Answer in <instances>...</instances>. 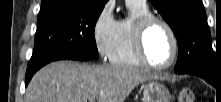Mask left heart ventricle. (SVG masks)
Instances as JSON below:
<instances>
[{
	"instance_id": "left-heart-ventricle-1",
	"label": "left heart ventricle",
	"mask_w": 221,
	"mask_h": 102,
	"mask_svg": "<svg viewBox=\"0 0 221 102\" xmlns=\"http://www.w3.org/2000/svg\"><path fill=\"white\" fill-rule=\"evenodd\" d=\"M145 48L152 63L163 65L169 62L173 55V41L166 28L160 24L153 25L146 34Z\"/></svg>"
}]
</instances>
